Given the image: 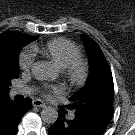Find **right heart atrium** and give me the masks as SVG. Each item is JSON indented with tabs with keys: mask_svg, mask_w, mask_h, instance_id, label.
<instances>
[{
	"mask_svg": "<svg viewBox=\"0 0 135 135\" xmlns=\"http://www.w3.org/2000/svg\"><path fill=\"white\" fill-rule=\"evenodd\" d=\"M34 64V54L30 49L23 50L18 56V65L23 71H29Z\"/></svg>",
	"mask_w": 135,
	"mask_h": 135,
	"instance_id": "obj_1",
	"label": "right heart atrium"
}]
</instances>
